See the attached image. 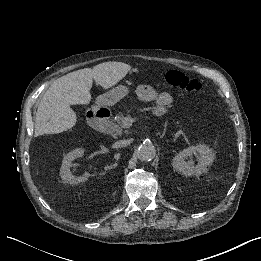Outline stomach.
I'll return each instance as SVG.
<instances>
[{
	"label": "stomach",
	"mask_w": 261,
	"mask_h": 261,
	"mask_svg": "<svg viewBox=\"0 0 261 261\" xmlns=\"http://www.w3.org/2000/svg\"><path fill=\"white\" fill-rule=\"evenodd\" d=\"M129 89L127 86L118 85L103 93L97 98V103L112 106L127 96Z\"/></svg>",
	"instance_id": "0dacf381"
}]
</instances>
